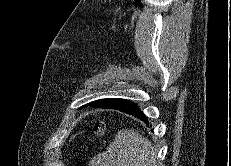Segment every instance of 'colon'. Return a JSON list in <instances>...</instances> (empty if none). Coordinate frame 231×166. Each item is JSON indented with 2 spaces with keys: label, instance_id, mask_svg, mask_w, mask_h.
Returning a JSON list of instances; mask_svg holds the SVG:
<instances>
[{
  "label": "colon",
  "instance_id": "obj_1",
  "mask_svg": "<svg viewBox=\"0 0 231 166\" xmlns=\"http://www.w3.org/2000/svg\"><path fill=\"white\" fill-rule=\"evenodd\" d=\"M95 131H96V134H97V135H102V134L104 133V131H105L104 125L98 124V125L96 126Z\"/></svg>",
  "mask_w": 231,
  "mask_h": 166
}]
</instances>
